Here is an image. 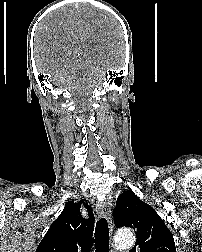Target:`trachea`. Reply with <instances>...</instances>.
Here are the masks:
<instances>
[{
    "label": "trachea",
    "mask_w": 202,
    "mask_h": 252,
    "mask_svg": "<svg viewBox=\"0 0 202 252\" xmlns=\"http://www.w3.org/2000/svg\"><path fill=\"white\" fill-rule=\"evenodd\" d=\"M109 247V229L105 218L97 221L95 229V252H107Z\"/></svg>",
    "instance_id": "obj_1"
}]
</instances>
